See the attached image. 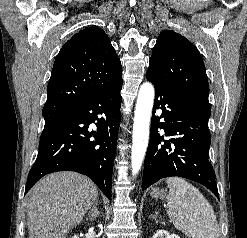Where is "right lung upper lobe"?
Wrapping results in <instances>:
<instances>
[{"label": "right lung upper lobe", "instance_id": "1", "mask_svg": "<svg viewBox=\"0 0 247 238\" xmlns=\"http://www.w3.org/2000/svg\"><path fill=\"white\" fill-rule=\"evenodd\" d=\"M121 62L106 33L91 26L67 41L53 65L45 121L83 103L120 79Z\"/></svg>", "mask_w": 247, "mask_h": 238}]
</instances>
